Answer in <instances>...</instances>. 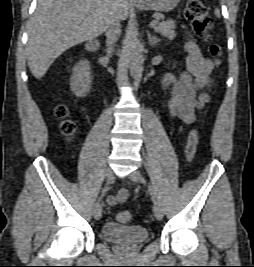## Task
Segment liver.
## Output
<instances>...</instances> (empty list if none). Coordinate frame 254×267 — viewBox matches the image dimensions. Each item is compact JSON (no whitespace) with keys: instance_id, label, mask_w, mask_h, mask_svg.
<instances>
[{"instance_id":"liver-1","label":"liver","mask_w":254,"mask_h":267,"mask_svg":"<svg viewBox=\"0 0 254 267\" xmlns=\"http://www.w3.org/2000/svg\"><path fill=\"white\" fill-rule=\"evenodd\" d=\"M128 0H38L28 25L27 61L41 79L66 50L101 35L111 19L126 20Z\"/></svg>"}]
</instances>
